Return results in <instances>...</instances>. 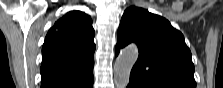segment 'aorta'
<instances>
[{
    "instance_id": "762f6f07",
    "label": "aorta",
    "mask_w": 223,
    "mask_h": 88,
    "mask_svg": "<svg viewBox=\"0 0 223 88\" xmlns=\"http://www.w3.org/2000/svg\"><path fill=\"white\" fill-rule=\"evenodd\" d=\"M138 58V49L130 45L123 49L114 64V79L118 88H125L129 84L130 73Z\"/></svg>"
}]
</instances>
